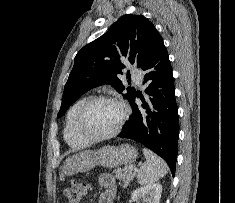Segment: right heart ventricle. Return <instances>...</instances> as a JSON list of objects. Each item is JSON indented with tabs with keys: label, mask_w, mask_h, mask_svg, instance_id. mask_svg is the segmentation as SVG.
<instances>
[{
	"label": "right heart ventricle",
	"mask_w": 235,
	"mask_h": 203,
	"mask_svg": "<svg viewBox=\"0 0 235 203\" xmlns=\"http://www.w3.org/2000/svg\"><path fill=\"white\" fill-rule=\"evenodd\" d=\"M90 98V96H84L79 98L73 105L69 108L65 127H64V139L66 143L72 148H82L86 146L89 142L82 139L75 131V119L76 115L81 108V106Z\"/></svg>",
	"instance_id": "1"
}]
</instances>
